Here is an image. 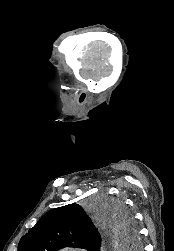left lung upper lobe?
<instances>
[{
	"mask_svg": "<svg viewBox=\"0 0 174 251\" xmlns=\"http://www.w3.org/2000/svg\"><path fill=\"white\" fill-rule=\"evenodd\" d=\"M103 209V217L113 225L118 238L139 249L136 225L124 205L120 202H105ZM69 246L100 251V233L78 204L47 212L21 238L18 251H57Z\"/></svg>",
	"mask_w": 174,
	"mask_h": 251,
	"instance_id": "1",
	"label": "left lung upper lobe"
}]
</instances>
